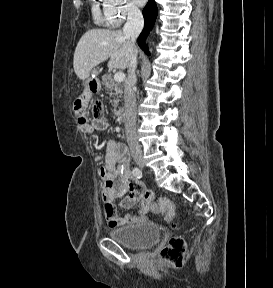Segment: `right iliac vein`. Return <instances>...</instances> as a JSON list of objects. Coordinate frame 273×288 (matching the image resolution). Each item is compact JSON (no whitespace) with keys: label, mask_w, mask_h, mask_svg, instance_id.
<instances>
[{"label":"right iliac vein","mask_w":273,"mask_h":288,"mask_svg":"<svg viewBox=\"0 0 273 288\" xmlns=\"http://www.w3.org/2000/svg\"><path fill=\"white\" fill-rule=\"evenodd\" d=\"M135 162L140 167H144L145 166V161H144V159L142 157L135 158Z\"/></svg>","instance_id":"obj_1"}]
</instances>
